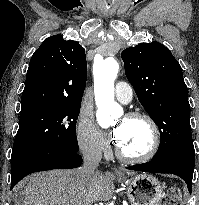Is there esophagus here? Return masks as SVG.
I'll return each instance as SVG.
<instances>
[{
    "label": "esophagus",
    "mask_w": 199,
    "mask_h": 205,
    "mask_svg": "<svg viewBox=\"0 0 199 205\" xmlns=\"http://www.w3.org/2000/svg\"><path fill=\"white\" fill-rule=\"evenodd\" d=\"M114 172H115V173H118V171H117V170H115Z\"/></svg>",
    "instance_id": "obj_1"
}]
</instances>
